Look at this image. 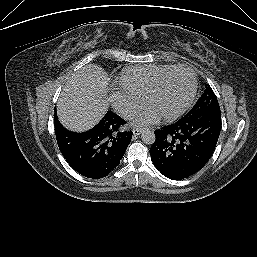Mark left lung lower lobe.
<instances>
[{"mask_svg": "<svg viewBox=\"0 0 257 257\" xmlns=\"http://www.w3.org/2000/svg\"><path fill=\"white\" fill-rule=\"evenodd\" d=\"M221 130V115L182 117L154 131L150 155L167 178L181 180L197 173L211 158Z\"/></svg>", "mask_w": 257, "mask_h": 257, "instance_id": "left-lung-lower-lobe-1", "label": "left lung lower lobe"}]
</instances>
